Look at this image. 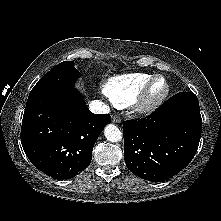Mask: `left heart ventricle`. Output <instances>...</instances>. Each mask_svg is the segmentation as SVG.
Segmentation results:
<instances>
[{"label": "left heart ventricle", "instance_id": "left-heart-ventricle-1", "mask_svg": "<svg viewBox=\"0 0 221 221\" xmlns=\"http://www.w3.org/2000/svg\"><path fill=\"white\" fill-rule=\"evenodd\" d=\"M165 90V82L163 80H158L155 82L152 88V96L157 97L162 94Z\"/></svg>", "mask_w": 221, "mask_h": 221}]
</instances>
